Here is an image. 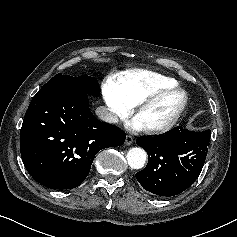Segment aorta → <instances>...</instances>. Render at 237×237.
I'll return each instance as SVG.
<instances>
[{"instance_id": "1", "label": "aorta", "mask_w": 237, "mask_h": 237, "mask_svg": "<svg viewBox=\"0 0 237 237\" xmlns=\"http://www.w3.org/2000/svg\"><path fill=\"white\" fill-rule=\"evenodd\" d=\"M127 162L133 169H141L144 167L147 154L144 149L139 147L131 148L127 153Z\"/></svg>"}]
</instances>
